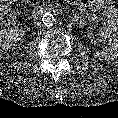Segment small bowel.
<instances>
[{"label":"small bowel","instance_id":"1","mask_svg":"<svg viewBox=\"0 0 118 118\" xmlns=\"http://www.w3.org/2000/svg\"><path fill=\"white\" fill-rule=\"evenodd\" d=\"M108 0H92L91 8L95 11L103 10L112 20V27L118 32V8L107 4Z\"/></svg>","mask_w":118,"mask_h":118}]
</instances>
